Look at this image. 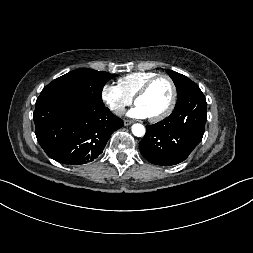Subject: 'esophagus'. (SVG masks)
Instances as JSON below:
<instances>
[{"instance_id": "1", "label": "esophagus", "mask_w": 253, "mask_h": 253, "mask_svg": "<svg viewBox=\"0 0 253 253\" xmlns=\"http://www.w3.org/2000/svg\"><path fill=\"white\" fill-rule=\"evenodd\" d=\"M132 123H133L132 120H124V125H125V126H129V125H131Z\"/></svg>"}]
</instances>
